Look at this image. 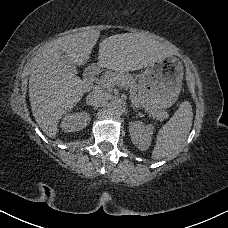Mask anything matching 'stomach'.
<instances>
[{"label":"stomach","instance_id":"1","mask_svg":"<svg viewBox=\"0 0 228 228\" xmlns=\"http://www.w3.org/2000/svg\"><path fill=\"white\" fill-rule=\"evenodd\" d=\"M183 65L175 56L147 66L139 75L138 96L149 109L170 108L182 89Z\"/></svg>","mask_w":228,"mask_h":228}]
</instances>
